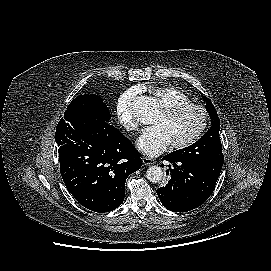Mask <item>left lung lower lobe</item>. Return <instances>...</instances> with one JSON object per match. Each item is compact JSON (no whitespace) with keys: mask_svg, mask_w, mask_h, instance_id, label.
I'll return each mask as SVG.
<instances>
[{"mask_svg":"<svg viewBox=\"0 0 271 271\" xmlns=\"http://www.w3.org/2000/svg\"><path fill=\"white\" fill-rule=\"evenodd\" d=\"M162 160L172 164L167 170L170 176L168 182L157 189L163 206L174 212H186L202 205L209 198L219 175L198 164L180 160L172 153Z\"/></svg>","mask_w":271,"mask_h":271,"instance_id":"left-lung-lower-lobe-1","label":"left lung lower lobe"}]
</instances>
